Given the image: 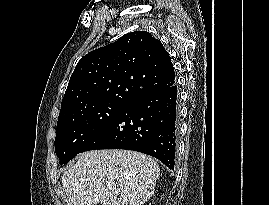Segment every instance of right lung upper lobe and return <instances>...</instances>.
Masks as SVG:
<instances>
[{
  "label": "right lung upper lobe",
  "instance_id": "obj_1",
  "mask_svg": "<svg viewBox=\"0 0 269 205\" xmlns=\"http://www.w3.org/2000/svg\"><path fill=\"white\" fill-rule=\"evenodd\" d=\"M174 84V67L163 44L146 31L131 32L80 59L58 119L102 102L130 105Z\"/></svg>",
  "mask_w": 269,
  "mask_h": 205
}]
</instances>
